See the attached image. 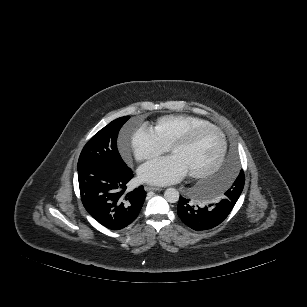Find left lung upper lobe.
<instances>
[{
    "instance_id": "5c2ea615",
    "label": "left lung upper lobe",
    "mask_w": 307,
    "mask_h": 307,
    "mask_svg": "<svg viewBox=\"0 0 307 307\" xmlns=\"http://www.w3.org/2000/svg\"><path fill=\"white\" fill-rule=\"evenodd\" d=\"M244 182L245 176L243 170H241L232 186L226 191V195L233 196L238 199L243 190Z\"/></svg>"
}]
</instances>
